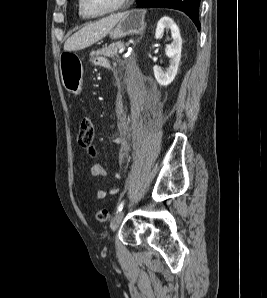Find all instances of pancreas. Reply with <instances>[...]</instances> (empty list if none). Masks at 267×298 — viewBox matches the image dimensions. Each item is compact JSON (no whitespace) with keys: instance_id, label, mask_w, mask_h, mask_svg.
<instances>
[{"instance_id":"pancreas-1","label":"pancreas","mask_w":267,"mask_h":298,"mask_svg":"<svg viewBox=\"0 0 267 298\" xmlns=\"http://www.w3.org/2000/svg\"><path fill=\"white\" fill-rule=\"evenodd\" d=\"M124 47L123 41H118L115 43L110 44L109 46H105L96 52L91 53V55H103L105 57H113L114 55L118 54L120 48Z\"/></svg>"}]
</instances>
